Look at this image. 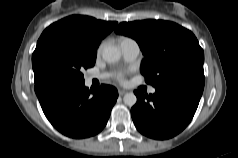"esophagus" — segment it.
Segmentation results:
<instances>
[{
    "label": "esophagus",
    "instance_id": "1",
    "mask_svg": "<svg viewBox=\"0 0 238 158\" xmlns=\"http://www.w3.org/2000/svg\"><path fill=\"white\" fill-rule=\"evenodd\" d=\"M126 92H127V91L124 90V89H119V90H118V93H119L120 96H123L124 94H126Z\"/></svg>",
    "mask_w": 238,
    "mask_h": 158
}]
</instances>
